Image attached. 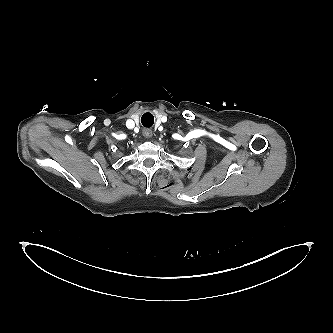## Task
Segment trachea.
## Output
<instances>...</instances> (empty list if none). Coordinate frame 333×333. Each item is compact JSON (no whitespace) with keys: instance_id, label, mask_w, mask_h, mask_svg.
I'll return each mask as SVG.
<instances>
[{"instance_id":"1","label":"trachea","mask_w":333,"mask_h":333,"mask_svg":"<svg viewBox=\"0 0 333 333\" xmlns=\"http://www.w3.org/2000/svg\"><path fill=\"white\" fill-rule=\"evenodd\" d=\"M141 122L144 127H151L154 123V117L151 113L147 112L142 116Z\"/></svg>"}]
</instances>
